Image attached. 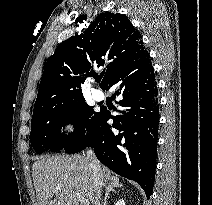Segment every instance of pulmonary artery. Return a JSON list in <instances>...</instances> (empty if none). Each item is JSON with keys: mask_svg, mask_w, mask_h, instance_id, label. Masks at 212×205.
Listing matches in <instances>:
<instances>
[{"mask_svg": "<svg viewBox=\"0 0 212 205\" xmlns=\"http://www.w3.org/2000/svg\"><path fill=\"white\" fill-rule=\"evenodd\" d=\"M93 98L97 101H101L104 99V93L101 90L95 89L92 92Z\"/></svg>", "mask_w": 212, "mask_h": 205, "instance_id": "1", "label": "pulmonary artery"}]
</instances>
